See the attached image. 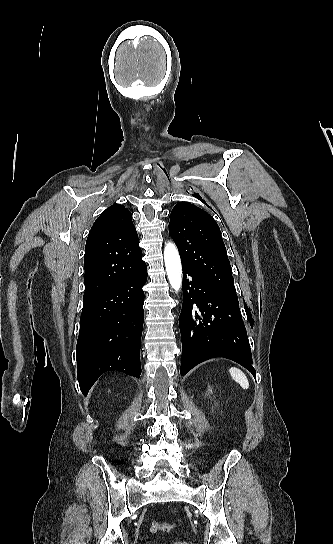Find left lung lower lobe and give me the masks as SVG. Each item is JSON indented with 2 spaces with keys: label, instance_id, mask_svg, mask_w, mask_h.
Listing matches in <instances>:
<instances>
[{
  "label": "left lung lower lobe",
  "instance_id": "1",
  "mask_svg": "<svg viewBox=\"0 0 333 544\" xmlns=\"http://www.w3.org/2000/svg\"><path fill=\"white\" fill-rule=\"evenodd\" d=\"M182 269L180 374L185 375L205 360L224 357L239 363L255 377L256 371L252 366L250 344L239 304L220 293L190 267L182 265Z\"/></svg>",
  "mask_w": 333,
  "mask_h": 544
}]
</instances>
